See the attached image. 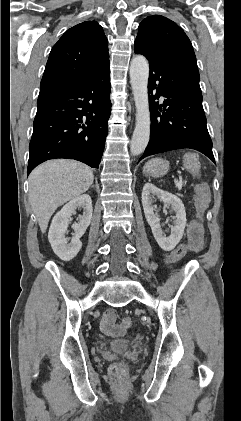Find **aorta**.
Masks as SVG:
<instances>
[{"mask_svg":"<svg viewBox=\"0 0 241 421\" xmlns=\"http://www.w3.org/2000/svg\"><path fill=\"white\" fill-rule=\"evenodd\" d=\"M149 65L142 55L135 56L130 64V80L136 106V124L130 143V152L140 155L150 138V111L148 99Z\"/></svg>","mask_w":241,"mask_h":421,"instance_id":"1","label":"aorta"}]
</instances>
